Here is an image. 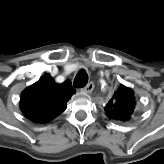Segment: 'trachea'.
Here are the masks:
<instances>
[{"label": "trachea", "mask_w": 164, "mask_h": 164, "mask_svg": "<svg viewBox=\"0 0 164 164\" xmlns=\"http://www.w3.org/2000/svg\"><path fill=\"white\" fill-rule=\"evenodd\" d=\"M88 82V75L84 70H81L77 73L74 79V87L75 88H82Z\"/></svg>", "instance_id": "1"}]
</instances>
